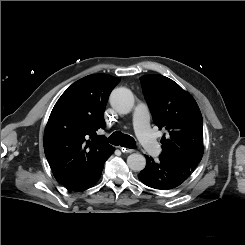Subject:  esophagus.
I'll return each mask as SVG.
<instances>
[{"instance_id":"esophagus-1","label":"esophagus","mask_w":245,"mask_h":245,"mask_svg":"<svg viewBox=\"0 0 245 245\" xmlns=\"http://www.w3.org/2000/svg\"><path fill=\"white\" fill-rule=\"evenodd\" d=\"M119 149H120L123 153H132V152H134L133 149L126 148V147H122V146H119Z\"/></svg>"}]
</instances>
